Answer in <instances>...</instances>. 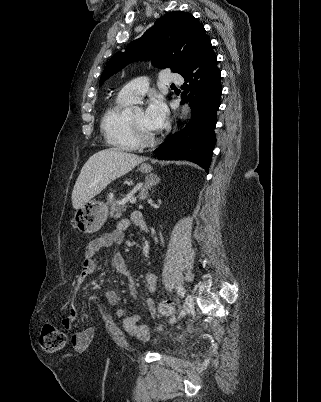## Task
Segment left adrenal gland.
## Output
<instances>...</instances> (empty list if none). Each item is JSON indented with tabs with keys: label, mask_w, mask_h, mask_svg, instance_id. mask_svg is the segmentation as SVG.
I'll return each mask as SVG.
<instances>
[{
	"label": "left adrenal gland",
	"mask_w": 321,
	"mask_h": 402,
	"mask_svg": "<svg viewBox=\"0 0 321 402\" xmlns=\"http://www.w3.org/2000/svg\"><path fill=\"white\" fill-rule=\"evenodd\" d=\"M159 181H160V178L157 177L156 174H150V175L146 176L145 184H144L143 188H141V191L139 194V199L145 200L148 197V190H150V188L153 185H156Z\"/></svg>",
	"instance_id": "1"
}]
</instances>
